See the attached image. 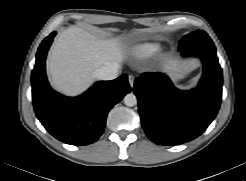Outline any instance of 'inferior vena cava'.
<instances>
[{"mask_svg": "<svg viewBox=\"0 0 246 181\" xmlns=\"http://www.w3.org/2000/svg\"><path fill=\"white\" fill-rule=\"evenodd\" d=\"M119 75L118 64H108L102 66L94 72V76L101 80H113Z\"/></svg>", "mask_w": 246, "mask_h": 181, "instance_id": "inferior-vena-cava-1", "label": "inferior vena cava"}]
</instances>
